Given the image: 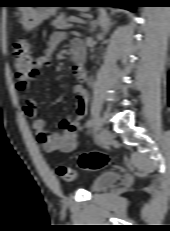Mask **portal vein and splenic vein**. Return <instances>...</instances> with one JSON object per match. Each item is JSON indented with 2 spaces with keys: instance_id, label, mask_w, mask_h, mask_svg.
<instances>
[{
  "instance_id": "18ae733b",
  "label": "portal vein and splenic vein",
  "mask_w": 170,
  "mask_h": 231,
  "mask_svg": "<svg viewBox=\"0 0 170 231\" xmlns=\"http://www.w3.org/2000/svg\"><path fill=\"white\" fill-rule=\"evenodd\" d=\"M71 22H77V23H84L83 21L77 19V18H70Z\"/></svg>"
}]
</instances>
